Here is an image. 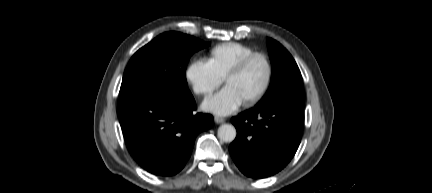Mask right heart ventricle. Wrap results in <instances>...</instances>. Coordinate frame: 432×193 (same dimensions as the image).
<instances>
[{"mask_svg": "<svg viewBox=\"0 0 432 193\" xmlns=\"http://www.w3.org/2000/svg\"><path fill=\"white\" fill-rule=\"evenodd\" d=\"M253 52V48L247 45H218L210 51L207 64L217 77L223 79L240 60Z\"/></svg>", "mask_w": 432, "mask_h": 193, "instance_id": "right-heart-ventricle-1", "label": "right heart ventricle"}]
</instances>
